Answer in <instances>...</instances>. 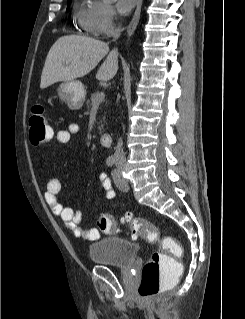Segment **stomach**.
<instances>
[{
    "label": "stomach",
    "instance_id": "0dacf381",
    "mask_svg": "<svg viewBox=\"0 0 245 319\" xmlns=\"http://www.w3.org/2000/svg\"><path fill=\"white\" fill-rule=\"evenodd\" d=\"M59 98L64 101L71 110H78L83 106L86 91L79 80L65 81L57 88Z\"/></svg>",
    "mask_w": 245,
    "mask_h": 319
}]
</instances>
